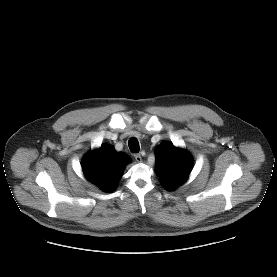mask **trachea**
I'll use <instances>...</instances> for the list:
<instances>
[{"label": "trachea", "instance_id": "1", "mask_svg": "<svg viewBox=\"0 0 277 277\" xmlns=\"http://www.w3.org/2000/svg\"><path fill=\"white\" fill-rule=\"evenodd\" d=\"M128 146H129L130 151L133 153H137L140 150L139 143L135 138L129 140Z\"/></svg>", "mask_w": 277, "mask_h": 277}]
</instances>
